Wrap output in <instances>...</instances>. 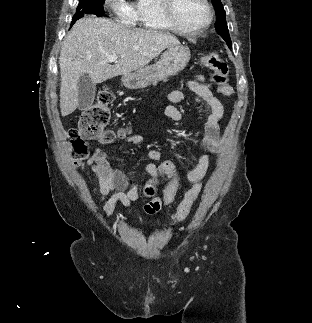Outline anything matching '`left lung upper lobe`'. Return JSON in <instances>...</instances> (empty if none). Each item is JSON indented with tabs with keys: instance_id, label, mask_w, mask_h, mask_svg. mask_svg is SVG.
<instances>
[{
	"instance_id": "5c2ea615",
	"label": "left lung upper lobe",
	"mask_w": 312,
	"mask_h": 323,
	"mask_svg": "<svg viewBox=\"0 0 312 323\" xmlns=\"http://www.w3.org/2000/svg\"><path fill=\"white\" fill-rule=\"evenodd\" d=\"M217 14V21L215 29L227 42L229 48H231V39L229 36V31L226 23V13L221 3V0H211Z\"/></svg>"
}]
</instances>
